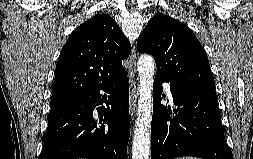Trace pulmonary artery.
Segmentation results:
<instances>
[{"label":"pulmonary artery","instance_id":"1","mask_svg":"<svg viewBox=\"0 0 253 159\" xmlns=\"http://www.w3.org/2000/svg\"><path fill=\"white\" fill-rule=\"evenodd\" d=\"M164 89H165L166 93L169 95L170 99H172L171 91H170V86H169V84L167 82L164 83Z\"/></svg>","mask_w":253,"mask_h":159}]
</instances>
